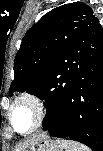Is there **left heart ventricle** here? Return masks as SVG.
I'll use <instances>...</instances> for the list:
<instances>
[{"instance_id": "1", "label": "left heart ventricle", "mask_w": 103, "mask_h": 151, "mask_svg": "<svg viewBox=\"0 0 103 151\" xmlns=\"http://www.w3.org/2000/svg\"><path fill=\"white\" fill-rule=\"evenodd\" d=\"M12 120L18 131L29 130L35 122V112L28 103L17 105L12 112Z\"/></svg>"}]
</instances>
